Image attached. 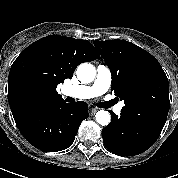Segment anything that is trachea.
<instances>
[{
  "label": "trachea",
  "instance_id": "obj_1",
  "mask_svg": "<svg viewBox=\"0 0 178 178\" xmlns=\"http://www.w3.org/2000/svg\"><path fill=\"white\" fill-rule=\"evenodd\" d=\"M113 104H114V101H108V102L99 103L97 106L99 108H108V107H110Z\"/></svg>",
  "mask_w": 178,
  "mask_h": 178
}]
</instances>
